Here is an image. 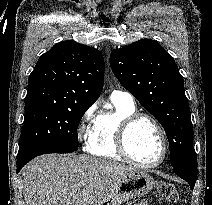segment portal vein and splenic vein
Wrapping results in <instances>:
<instances>
[{"mask_svg": "<svg viewBox=\"0 0 212 205\" xmlns=\"http://www.w3.org/2000/svg\"><path fill=\"white\" fill-rule=\"evenodd\" d=\"M84 185V183H80L79 186L82 187Z\"/></svg>", "mask_w": 212, "mask_h": 205, "instance_id": "18ae733b", "label": "portal vein and splenic vein"}]
</instances>
